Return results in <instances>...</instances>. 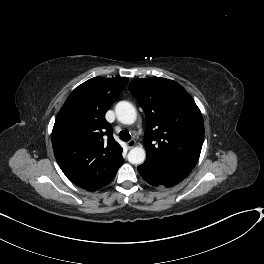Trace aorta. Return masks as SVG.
I'll use <instances>...</instances> for the list:
<instances>
[{
	"label": "aorta",
	"mask_w": 264,
	"mask_h": 264,
	"mask_svg": "<svg viewBox=\"0 0 264 264\" xmlns=\"http://www.w3.org/2000/svg\"><path fill=\"white\" fill-rule=\"evenodd\" d=\"M115 112L117 119L123 124H133L137 117L135 107L127 101L118 102L115 106ZM145 158L146 152L141 146L132 148L128 153V161L131 164H142Z\"/></svg>",
	"instance_id": "aorta-1"
}]
</instances>
